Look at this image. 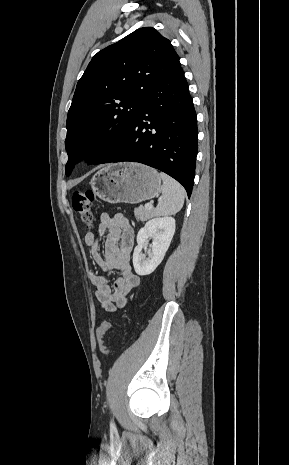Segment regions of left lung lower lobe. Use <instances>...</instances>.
Here are the masks:
<instances>
[{
	"mask_svg": "<svg viewBox=\"0 0 289 465\" xmlns=\"http://www.w3.org/2000/svg\"><path fill=\"white\" fill-rule=\"evenodd\" d=\"M197 119L181 67L150 90L118 146L99 163L131 161L159 169L190 197L197 155Z\"/></svg>",
	"mask_w": 289,
	"mask_h": 465,
	"instance_id": "obj_1",
	"label": "left lung lower lobe"
}]
</instances>
